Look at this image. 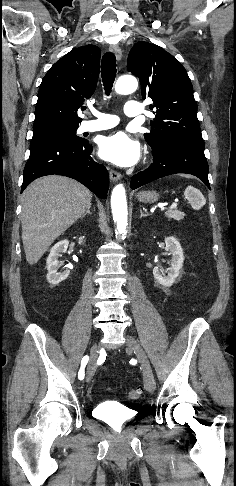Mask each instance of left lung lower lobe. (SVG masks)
<instances>
[{"mask_svg":"<svg viewBox=\"0 0 236 486\" xmlns=\"http://www.w3.org/2000/svg\"><path fill=\"white\" fill-rule=\"evenodd\" d=\"M151 166L131 178L130 186L136 189L161 177L188 173L198 177L209 189L208 163L204 155V145L184 140H173L152 149Z\"/></svg>","mask_w":236,"mask_h":486,"instance_id":"1","label":"left lung lower lobe"}]
</instances>
